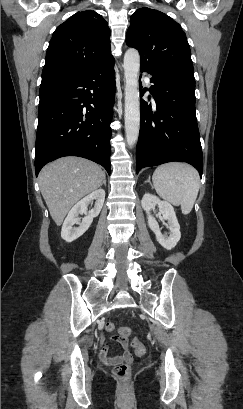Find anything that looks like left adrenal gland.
Returning a JSON list of instances; mask_svg holds the SVG:
<instances>
[{"mask_svg": "<svg viewBox=\"0 0 243 409\" xmlns=\"http://www.w3.org/2000/svg\"><path fill=\"white\" fill-rule=\"evenodd\" d=\"M146 183H149L150 185H152V184H151V181H150V178H148V180L146 181Z\"/></svg>", "mask_w": 243, "mask_h": 409, "instance_id": "a2214340", "label": "left adrenal gland"}]
</instances>
